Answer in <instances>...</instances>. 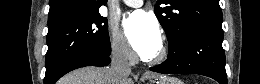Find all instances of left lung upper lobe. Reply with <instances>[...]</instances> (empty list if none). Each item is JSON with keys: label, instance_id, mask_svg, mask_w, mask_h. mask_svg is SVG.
I'll use <instances>...</instances> for the list:
<instances>
[{"label": "left lung upper lobe", "instance_id": "left-lung-upper-lobe-1", "mask_svg": "<svg viewBox=\"0 0 260 84\" xmlns=\"http://www.w3.org/2000/svg\"><path fill=\"white\" fill-rule=\"evenodd\" d=\"M162 3L169 6L162 8ZM155 15L166 32L169 50L193 26L222 23L219 0H160L155 5Z\"/></svg>", "mask_w": 260, "mask_h": 84}]
</instances>
